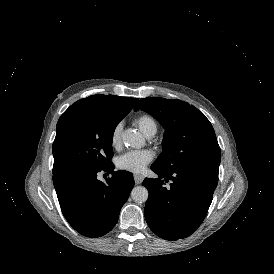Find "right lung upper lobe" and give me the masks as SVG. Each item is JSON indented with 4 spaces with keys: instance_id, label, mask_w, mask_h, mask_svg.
<instances>
[{
    "instance_id": "obj_1",
    "label": "right lung upper lobe",
    "mask_w": 274,
    "mask_h": 274,
    "mask_svg": "<svg viewBox=\"0 0 274 274\" xmlns=\"http://www.w3.org/2000/svg\"><path fill=\"white\" fill-rule=\"evenodd\" d=\"M137 98H129V97H120L115 95H92L87 98L78 100L74 104H72L62 115H65L69 112H72L81 108L88 107H99V106H107V105H119L129 108L130 110L134 107ZM61 115V116H62Z\"/></svg>"
}]
</instances>
